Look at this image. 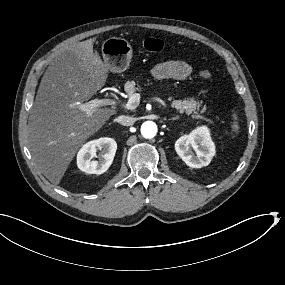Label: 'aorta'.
Instances as JSON below:
<instances>
[{
  "mask_svg": "<svg viewBox=\"0 0 285 285\" xmlns=\"http://www.w3.org/2000/svg\"><path fill=\"white\" fill-rule=\"evenodd\" d=\"M157 134V125L152 121H147L141 126V135L145 139H152Z\"/></svg>",
  "mask_w": 285,
  "mask_h": 285,
  "instance_id": "1",
  "label": "aorta"
}]
</instances>
